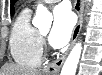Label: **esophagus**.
I'll use <instances>...</instances> for the list:
<instances>
[{
  "label": "esophagus",
  "mask_w": 102,
  "mask_h": 75,
  "mask_svg": "<svg viewBox=\"0 0 102 75\" xmlns=\"http://www.w3.org/2000/svg\"><path fill=\"white\" fill-rule=\"evenodd\" d=\"M83 3H84L83 0H75L74 1V10L76 11V13L78 15V23H77L75 29L73 30L70 47L60 58H58L57 60H55L51 64L44 67L43 71L46 74L58 75V73H59V71H60L69 51H70V49L72 48V46L76 42V40L78 38V35L80 33V30H81V26H82Z\"/></svg>",
  "instance_id": "1"
}]
</instances>
